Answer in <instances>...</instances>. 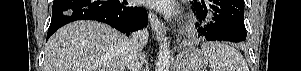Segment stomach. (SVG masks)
<instances>
[{
  "instance_id": "obj_1",
  "label": "stomach",
  "mask_w": 301,
  "mask_h": 71,
  "mask_svg": "<svg viewBox=\"0 0 301 71\" xmlns=\"http://www.w3.org/2000/svg\"><path fill=\"white\" fill-rule=\"evenodd\" d=\"M208 62L201 50L183 51L178 57L177 71H206Z\"/></svg>"
}]
</instances>
